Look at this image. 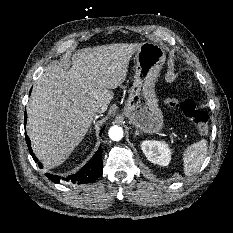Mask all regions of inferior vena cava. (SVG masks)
<instances>
[{"instance_id":"obj_1","label":"inferior vena cava","mask_w":233,"mask_h":233,"mask_svg":"<svg viewBox=\"0 0 233 233\" xmlns=\"http://www.w3.org/2000/svg\"><path fill=\"white\" fill-rule=\"evenodd\" d=\"M98 114V109H93L92 110V115H97Z\"/></svg>"}]
</instances>
